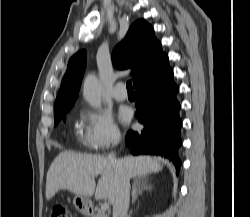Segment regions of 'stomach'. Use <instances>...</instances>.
<instances>
[{"label":"stomach","instance_id":"1","mask_svg":"<svg viewBox=\"0 0 250 217\" xmlns=\"http://www.w3.org/2000/svg\"><path fill=\"white\" fill-rule=\"evenodd\" d=\"M73 204L78 212L89 215L91 212V200L88 197L76 195Z\"/></svg>","mask_w":250,"mask_h":217}]
</instances>
